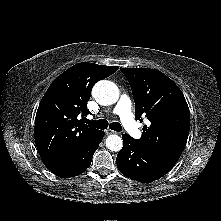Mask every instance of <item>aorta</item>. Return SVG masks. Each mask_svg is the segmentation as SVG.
Listing matches in <instances>:
<instances>
[{
    "mask_svg": "<svg viewBox=\"0 0 221 221\" xmlns=\"http://www.w3.org/2000/svg\"><path fill=\"white\" fill-rule=\"evenodd\" d=\"M92 95L100 105L108 106L117 102L119 89L113 82L101 80L94 85ZM106 147L111 151L118 152L123 147V141L118 135H109L106 138Z\"/></svg>",
    "mask_w": 221,
    "mask_h": 221,
    "instance_id": "762f6f07",
    "label": "aorta"
}]
</instances>
